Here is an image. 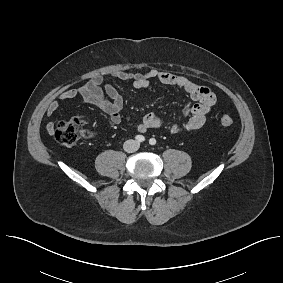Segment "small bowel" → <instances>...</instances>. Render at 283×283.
Instances as JSON below:
<instances>
[{
	"label": "small bowel",
	"mask_w": 283,
	"mask_h": 283,
	"mask_svg": "<svg viewBox=\"0 0 283 283\" xmlns=\"http://www.w3.org/2000/svg\"><path fill=\"white\" fill-rule=\"evenodd\" d=\"M112 77L122 81H131L136 88H146L152 82L176 87L193 101L185 106L179 121L164 119L154 112L145 114L136 125V130L140 133L155 128L165 129L173 135L198 130L205 124L208 113L216 103V96L209 87L197 84L178 74L150 69L143 73L116 71ZM76 97L107 114L112 123L119 124L121 122L123 98L114 85L103 83L102 77L96 76L80 87L62 92L59 99L71 100ZM59 108V102L52 101L46 107V114L52 116ZM53 128L54 124L49 123L48 131L52 132Z\"/></svg>",
	"instance_id": "obj_1"
}]
</instances>
